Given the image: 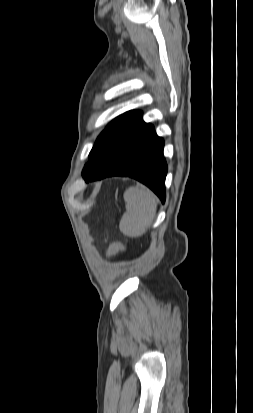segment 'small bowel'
<instances>
[{"label":"small bowel","instance_id":"obj_1","mask_svg":"<svg viewBox=\"0 0 253 413\" xmlns=\"http://www.w3.org/2000/svg\"><path fill=\"white\" fill-rule=\"evenodd\" d=\"M124 248L122 244L120 243H112L108 247L107 255L108 256H113L117 254L118 252L122 251Z\"/></svg>","mask_w":253,"mask_h":413}]
</instances>
